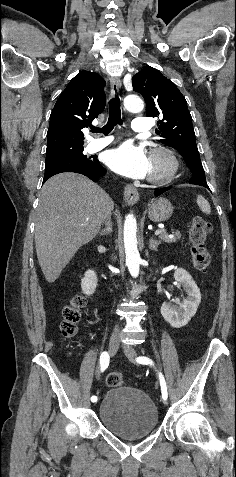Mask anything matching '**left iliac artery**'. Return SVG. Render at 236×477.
<instances>
[{"instance_id": "left-iliac-artery-1", "label": "left iliac artery", "mask_w": 236, "mask_h": 477, "mask_svg": "<svg viewBox=\"0 0 236 477\" xmlns=\"http://www.w3.org/2000/svg\"><path fill=\"white\" fill-rule=\"evenodd\" d=\"M136 361L140 364L154 366L153 361L150 358L145 357V356L137 357ZM159 380H160V385H161L162 398L167 399V397H168L167 386H166L164 376L162 375L161 372L159 373Z\"/></svg>"}]
</instances>
